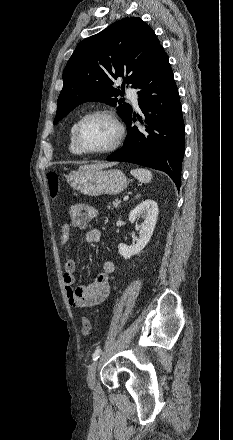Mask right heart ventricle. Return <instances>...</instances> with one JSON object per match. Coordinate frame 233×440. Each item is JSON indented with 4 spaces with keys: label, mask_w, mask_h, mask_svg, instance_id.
I'll return each instance as SVG.
<instances>
[{
    "label": "right heart ventricle",
    "mask_w": 233,
    "mask_h": 440,
    "mask_svg": "<svg viewBox=\"0 0 233 440\" xmlns=\"http://www.w3.org/2000/svg\"><path fill=\"white\" fill-rule=\"evenodd\" d=\"M76 122H77V121H75V122L71 125L70 130H69V144H68V148H69V151H70L72 154H74V155H80L81 153L77 150V148L75 147L74 142H73V130H74V127H75Z\"/></svg>",
    "instance_id": "right-heart-ventricle-1"
}]
</instances>
